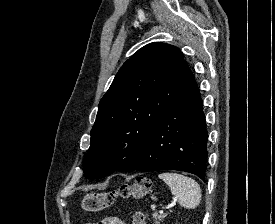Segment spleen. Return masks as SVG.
Returning <instances> with one entry per match:
<instances>
[{
	"instance_id": "obj_1",
	"label": "spleen",
	"mask_w": 275,
	"mask_h": 224,
	"mask_svg": "<svg viewBox=\"0 0 275 224\" xmlns=\"http://www.w3.org/2000/svg\"><path fill=\"white\" fill-rule=\"evenodd\" d=\"M159 178L169 186L171 193L178 198L182 207L195 209L199 205L201 189L194 179L169 172L159 174Z\"/></svg>"
}]
</instances>
